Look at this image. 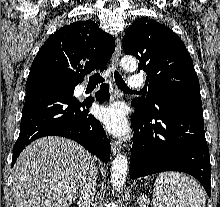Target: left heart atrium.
<instances>
[{
    "label": "left heart atrium",
    "instance_id": "left-heart-atrium-1",
    "mask_svg": "<svg viewBox=\"0 0 220 207\" xmlns=\"http://www.w3.org/2000/svg\"><path fill=\"white\" fill-rule=\"evenodd\" d=\"M98 119L106 130L115 136H123L128 131L124 108L120 104L102 107L97 113Z\"/></svg>",
    "mask_w": 220,
    "mask_h": 207
}]
</instances>
